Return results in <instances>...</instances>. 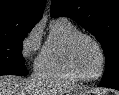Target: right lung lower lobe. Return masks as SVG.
<instances>
[{"mask_svg": "<svg viewBox=\"0 0 119 95\" xmlns=\"http://www.w3.org/2000/svg\"><path fill=\"white\" fill-rule=\"evenodd\" d=\"M0 75H6V74H4V73H0Z\"/></svg>", "mask_w": 119, "mask_h": 95, "instance_id": "obj_1", "label": "right lung lower lobe"}]
</instances>
